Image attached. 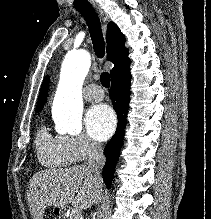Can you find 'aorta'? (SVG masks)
Masks as SVG:
<instances>
[{
    "label": "aorta",
    "mask_w": 211,
    "mask_h": 219,
    "mask_svg": "<svg viewBox=\"0 0 211 219\" xmlns=\"http://www.w3.org/2000/svg\"><path fill=\"white\" fill-rule=\"evenodd\" d=\"M86 50L69 51L63 61L54 99V117L60 132L77 135L82 130V85L90 67Z\"/></svg>",
    "instance_id": "aorta-1"
}]
</instances>
